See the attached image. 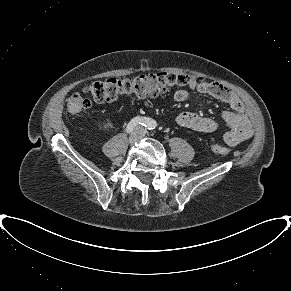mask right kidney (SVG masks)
<instances>
[{"instance_id":"1","label":"right kidney","mask_w":291,"mask_h":291,"mask_svg":"<svg viewBox=\"0 0 291 291\" xmlns=\"http://www.w3.org/2000/svg\"><path fill=\"white\" fill-rule=\"evenodd\" d=\"M110 126H111L110 122H107V123L103 124V128H104V129H107V128H109Z\"/></svg>"}]
</instances>
